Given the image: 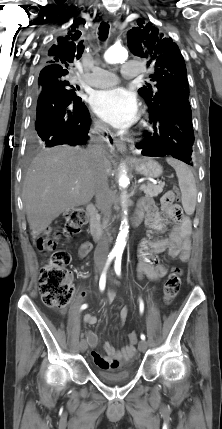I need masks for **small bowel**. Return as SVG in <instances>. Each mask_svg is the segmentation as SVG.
Listing matches in <instances>:
<instances>
[{"label": "small bowel", "instance_id": "c3829d8e", "mask_svg": "<svg viewBox=\"0 0 222 429\" xmlns=\"http://www.w3.org/2000/svg\"><path fill=\"white\" fill-rule=\"evenodd\" d=\"M138 214H145V223L148 229L155 233L163 232L169 221L174 223L172 231L168 238L165 239H144L138 247V265L137 276L139 279L146 275L152 281H158L166 276L168 269L160 262L158 255L166 252L171 258L179 257L181 261H187L191 254L190 235L192 231V223L186 216L179 205H164L162 204V213L159 212L154 202L150 199H142L139 203ZM92 249V244L84 242L78 249L79 258L86 257ZM85 292L80 294L84 297ZM115 292L109 293L107 302L111 303L114 300ZM128 315V307L124 306L120 310V324L125 323ZM84 322L93 325L97 322V318L92 314L84 316ZM86 339L89 346L93 349L91 356L95 364L101 369H116L126 365L134 356L135 348L131 345H125L120 349H116L110 343L105 344V355H101L94 348L98 344V336L93 331L86 332Z\"/></svg>", "mask_w": 222, "mask_h": 429}]
</instances>
